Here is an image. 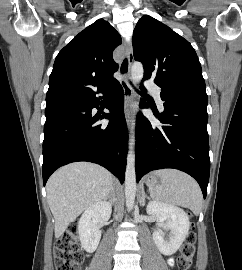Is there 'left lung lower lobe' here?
Listing matches in <instances>:
<instances>
[{
  "label": "left lung lower lobe",
  "mask_w": 242,
  "mask_h": 270,
  "mask_svg": "<svg viewBox=\"0 0 242 270\" xmlns=\"http://www.w3.org/2000/svg\"><path fill=\"white\" fill-rule=\"evenodd\" d=\"M141 89L146 91L142 84ZM140 106L148 108L143 99ZM154 115L163 126L137 115L136 180L152 170L179 169L196 179L205 198L210 173L207 104L164 102V112Z\"/></svg>",
  "instance_id": "obj_1"
}]
</instances>
